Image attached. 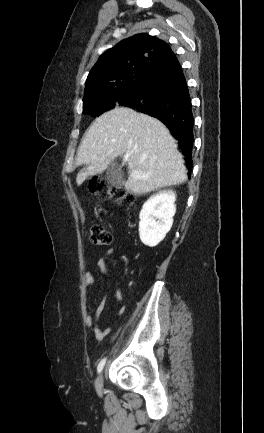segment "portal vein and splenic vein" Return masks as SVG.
<instances>
[{
    "label": "portal vein and splenic vein",
    "instance_id": "obj_1",
    "mask_svg": "<svg viewBox=\"0 0 264 433\" xmlns=\"http://www.w3.org/2000/svg\"><path fill=\"white\" fill-rule=\"evenodd\" d=\"M128 158H129V155L126 154V155L124 156V159H125V160H128ZM134 174H136V172H134Z\"/></svg>",
    "mask_w": 264,
    "mask_h": 433
}]
</instances>
